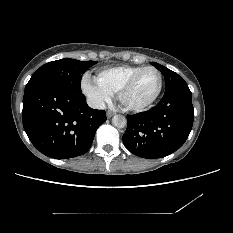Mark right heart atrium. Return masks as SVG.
<instances>
[{"label":"right heart atrium","mask_w":233,"mask_h":233,"mask_svg":"<svg viewBox=\"0 0 233 233\" xmlns=\"http://www.w3.org/2000/svg\"><path fill=\"white\" fill-rule=\"evenodd\" d=\"M82 90L88 100L95 107H103L107 103L111 95L102 89L95 81L89 76H85L82 80Z\"/></svg>","instance_id":"right-heart-atrium-1"}]
</instances>
